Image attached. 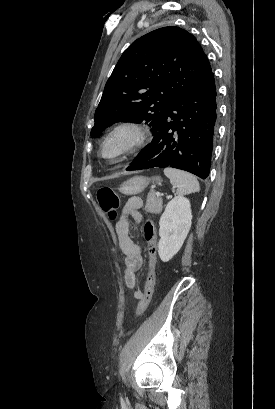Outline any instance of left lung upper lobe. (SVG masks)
<instances>
[{"label":"left lung upper lobe","mask_w":275,"mask_h":409,"mask_svg":"<svg viewBox=\"0 0 275 409\" xmlns=\"http://www.w3.org/2000/svg\"><path fill=\"white\" fill-rule=\"evenodd\" d=\"M211 70L186 30L169 26L140 37L124 51L105 85L91 136L122 120H146L154 133L179 96Z\"/></svg>","instance_id":"left-lung-upper-lobe-1"}]
</instances>
